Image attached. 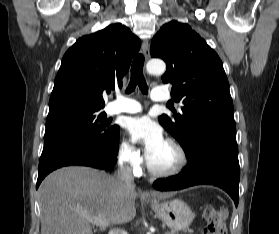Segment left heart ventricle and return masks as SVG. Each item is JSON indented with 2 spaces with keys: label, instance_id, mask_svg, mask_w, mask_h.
Here are the masks:
<instances>
[{
  "label": "left heart ventricle",
  "instance_id": "b2bd125f",
  "mask_svg": "<svg viewBox=\"0 0 279 234\" xmlns=\"http://www.w3.org/2000/svg\"><path fill=\"white\" fill-rule=\"evenodd\" d=\"M148 159L153 167L164 170L173 167L177 163L178 156L176 150L164 142Z\"/></svg>",
  "mask_w": 279,
  "mask_h": 234
}]
</instances>
